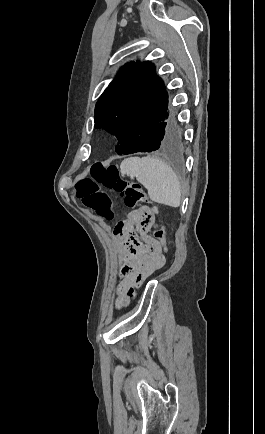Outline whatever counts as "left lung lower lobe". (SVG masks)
Instances as JSON below:
<instances>
[{"mask_svg": "<svg viewBox=\"0 0 265 434\" xmlns=\"http://www.w3.org/2000/svg\"><path fill=\"white\" fill-rule=\"evenodd\" d=\"M184 146L182 130L169 115L159 126H151L134 137L122 140L115 150L119 155L137 152L171 154L182 151Z\"/></svg>", "mask_w": 265, "mask_h": 434, "instance_id": "obj_1", "label": "left lung lower lobe"}]
</instances>
